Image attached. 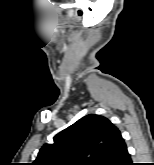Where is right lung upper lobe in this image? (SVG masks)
I'll return each mask as SVG.
<instances>
[{"mask_svg":"<svg viewBox=\"0 0 154 165\" xmlns=\"http://www.w3.org/2000/svg\"><path fill=\"white\" fill-rule=\"evenodd\" d=\"M121 133L107 118L89 114L45 144L33 165H103Z\"/></svg>","mask_w":154,"mask_h":165,"instance_id":"right-lung-upper-lobe-1","label":"right lung upper lobe"}]
</instances>
